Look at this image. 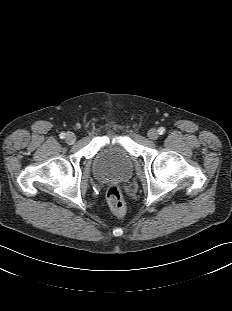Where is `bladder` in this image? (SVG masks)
<instances>
[{
    "instance_id": "bladder-1",
    "label": "bladder",
    "mask_w": 232,
    "mask_h": 311,
    "mask_svg": "<svg viewBox=\"0 0 232 311\" xmlns=\"http://www.w3.org/2000/svg\"><path fill=\"white\" fill-rule=\"evenodd\" d=\"M129 155L117 144L105 146L96 156L93 170L99 178L124 180L132 172Z\"/></svg>"
}]
</instances>
